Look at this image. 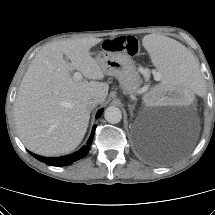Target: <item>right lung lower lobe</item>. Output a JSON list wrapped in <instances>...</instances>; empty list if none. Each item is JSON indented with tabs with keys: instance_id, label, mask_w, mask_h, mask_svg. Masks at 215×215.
Masks as SVG:
<instances>
[{
	"instance_id": "right-lung-lower-lobe-1",
	"label": "right lung lower lobe",
	"mask_w": 215,
	"mask_h": 215,
	"mask_svg": "<svg viewBox=\"0 0 215 215\" xmlns=\"http://www.w3.org/2000/svg\"><path fill=\"white\" fill-rule=\"evenodd\" d=\"M103 110H100L96 117H100L102 114ZM95 129H96V125L93 126V130L92 133L90 135V138L87 142L86 146H83L80 150H78L77 152L67 155V156H62V157H52V158H48V157H43V156H39L36 154H33L31 152H29L32 156H34L36 159H38L41 162H45L47 165L50 166H66V165H70L73 162L79 160L80 158H83L87 155L89 149H90V145L93 141V137H94V133H95Z\"/></svg>"
}]
</instances>
